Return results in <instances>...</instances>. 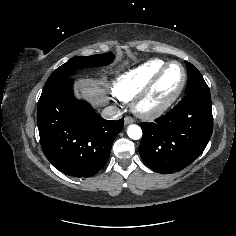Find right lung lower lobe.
<instances>
[{
  "label": "right lung lower lobe",
  "mask_w": 236,
  "mask_h": 236,
  "mask_svg": "<svg viewBox=\"0 0 236 236\" xmlns=\"http://www.w3.org/2000/svg\"><path fill=\"white\" fill-rule=\"evenodd\" d=\"M70 77L45 86L38 101L40 143L47 159L63 173L91 177L106 164L123 118L105 120L76 100Z\"/></svg>",
  "instance_id": "right-lung-lower-lobe-1"
}]
</instances>
